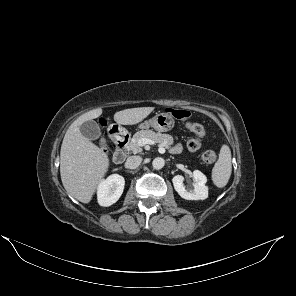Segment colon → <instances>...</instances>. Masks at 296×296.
I'll list each match as a JSON object with an SVG mask.
<instances>
[{
  "label": "colon",
  "mask_w": 296,
  "mask_h": 296,
  "mask_svg": "<svg viewBox=\"0 0 296 296\" xmlns=\"http://www.w3.org/2000/svg\"><path fill=\"white\" fill-rule=\"evenodd\" d=\"M166 111L175 118L185 121L186 129L195 134L194 138L188 140L187 147L191 151L199 150L202 145V139L205 136L204 127L199 123L189 121L190 112L188 110L168 108ZM100 146L103 150L106 149V143L104 140H101ZM216 158V153L212 150H207L201 155L202 161L207 164L214 163Z\"/></svg>",
  "instance_id": "5ec220e1"
}]
</instances>
